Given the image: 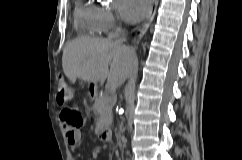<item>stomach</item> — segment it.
Wrapping results in <instances>:
<instances>
[{"instance_id":"0dacf381","label":"stomach","mask_w":242,"mask_h":160,"mask_svg":"<svg viewBox=\"0 0 242 160\" xmlns=\"http://www.w3.org/2000/svg\"><path fill=\"white\" fill-rule=\"evenodd\" d=\"M88 86H89V88L91 89L92 92L96 93V91H97V84L96 83L89 82Z\"/></svg>"}]
</instances>
